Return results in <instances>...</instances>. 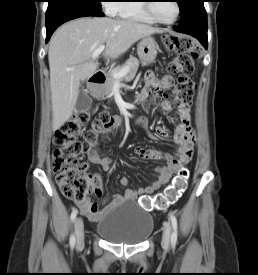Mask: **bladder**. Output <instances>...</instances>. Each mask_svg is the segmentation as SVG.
<instances>
[{
	"instance_id": "bladder-1",
	"label": "bladder",
	"mask_w": 258,
	"mask_h": 275,
	"mask_svg": "<svg viewBox=\"0 0 258 275\" xmlns=\"http://www.w3.org/2000/svg\"><path fill=\"white\" fill-rule=\"evenodd\" d=\"M154 220L146 210L126 202L105 213L96 224V233L112 243L139 244L152 233Z\"/></svg>"
}]
</instances>
